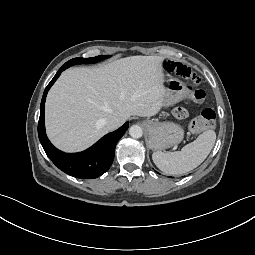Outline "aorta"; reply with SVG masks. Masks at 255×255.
Returning a JSON list of instances; mask_svg holds the SVG:
<instances>
[{
	"label": "aorta",
	"instance_id": "762f6f07",
	"mask_svg": "<svg viewBox=\"0 0 255 255\" xmlns=\"http://www.w3.org/2000/svg\"><path fill=\"white\" fill-rule=\"evenodd\" d=\"M129 134L132 138H140L142 137L143 135V130L140 126L138 125H132L130 128H129Z\"/></svg>",
	"mask_w": 255,
	"mask_h": 255
}]
</instances>
